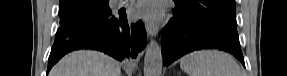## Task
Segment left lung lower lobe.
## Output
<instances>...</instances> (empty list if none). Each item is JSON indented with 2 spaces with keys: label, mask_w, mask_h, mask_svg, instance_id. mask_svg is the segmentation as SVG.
<instances>
[{
  "label": "left lung lower lobe",
  "mask_w": 287,
  "mask_h": 76,
  "mask_svg": "<svg viewBox=\"0 0 287 76\" xmlns=\"http://www.w3.org/2000/svg\"><path fill=\"white\" fill-rule=\"evenodd\" d=\"M172 18L162 31L163 63L168 66L181 56L200 49H219L233 54L244 64L236 31L205 17L175 6Z\"/></svg>",
  "instance_id": "left-lung-lower-lobe-1"
}]
</instances>
